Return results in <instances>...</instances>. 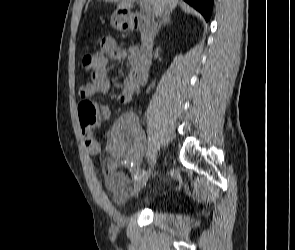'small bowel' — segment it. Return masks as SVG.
<instances>
[{"label":"small bowel","instance_id":"small-bowel-1","mask_svg":"<svg viewBox=\"0 0 295 250\" xmlns=\"http://www.w3.org/2000/svg\"><path fill=\"white\" fill-rule=\"evenodd\" d=\"M97 66L92 74V81L85 83L79 89V96L87 99L99 93H107L111 89V81L108 77L109 62L113 60H130L132 70L123 82V89L117 96L120 104L129 103L140 92L143 85L133 72L134 64L138 58V52L134 49L129 52L119 47L111 37H104L100 42V51L95 53ZM102 118L108 121L111 116L109 107L101 109ZM83 139L88 154L97 155L101 152V144L94 138L90 131L83 130ZM109 151L113 159V165L122 161L138 163L143 151V135L137 117L133 113H125L114 123L110 133ZM129 177L111 167L107 175V186L117 200H123L128 196L127 186Z\"/></svg>","mask_w":295,"mask_h":250}]
</instances>
